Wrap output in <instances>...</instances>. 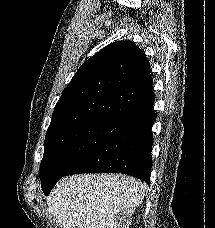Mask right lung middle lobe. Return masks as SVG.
<instances>
[{"mask_svg": "<svg viewBox=\"0 0 215 228\" xmlns=\"http://www.w3.org/2000/svg\"><path fill=\"white\" fill-rule=\"evenodd\" d=\"M126 124L123 120L97 117L46 134L39 170L44 194L49 195L74 165Z\"/></svg>", "mask_w": 215, "mask_h": 228, "instance_id": "1", "label": "right lung middle lobe"}]
</instances>
